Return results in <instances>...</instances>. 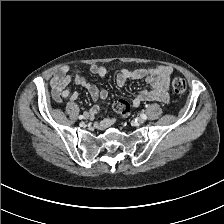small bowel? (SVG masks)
Returning <instances> with one entry per match:
<instances>
[{"label":"small bowel","mask_w":224,"mask_h":224,"mask_svg":"<svg viewBox=\"0 0 224 224\" xmlns=\"http://www.w3.org/2000/svg\"><path fill=\"white\" fill-rule=\"evenodd\" d=\"M89 71L99 77H105L107 69L98 64H91L88 66ZM70 67L63 66L59 68L53 75L50 86L52 89V96L55 101L61 102L63 99L70 97L71 100L78 98L77 92H70L69 84L74 81L76 85L86 89L93 101L95 102L94 107L91 109V114L95 115L99 111V102L104 100L108 96V92L104 88H100L90 83L84 75L78 70L74 74H70ZM173 73V69L169 66H154L147 69H121L117 75L116 83L118 86H124L128 80L131 79H145L149 83V87L142 89L136 96H134L130 105L133 108H137L142 102L145 101H159L168 104L169 94V83ZM114 120H105L99 124L100 128H106L113 124Z\"/></svg>","instance_id":"1"}]
</instances>
